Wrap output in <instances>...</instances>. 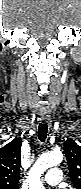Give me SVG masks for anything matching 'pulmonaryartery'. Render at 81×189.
Here are the masks:
<instances>
[{
    "mask_svg": "<svg viewBox=\"0 0 81 189\" xmlns=\"http://www.w3.org/2000/svg\"><path fill=\"white\" fill-rule=\"evenodd\" d=\"M62 172L59 168L50 169L44 176V181L49 185H57L61 182Z\"/></svg>",
    "mask_w": 81,
    "mask_h": 189,
    "instance_id": "1",
    "label": "pulmonary artery"
}]
</instances>
